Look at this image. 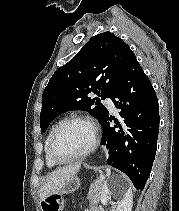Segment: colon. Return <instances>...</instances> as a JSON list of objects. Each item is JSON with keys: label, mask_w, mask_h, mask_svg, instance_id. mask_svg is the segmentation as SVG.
Returning <instances> with one entry per match:
<instances>
[{"label": "colon", "mask_w": 179, "mask_h": 211, "mask_svg": "<svg viewBox=\"0 0 179 211\" xmlns=\"http://www.w3.org/2000/svg\"><path fill=\"white\" fill-rule=\"evenodd\" d=\"M62 207H63V199L59 194L48 196L42 202L43 211H62Z\"/></svg>", "instance_id": "obj_1"}]
</instances>
